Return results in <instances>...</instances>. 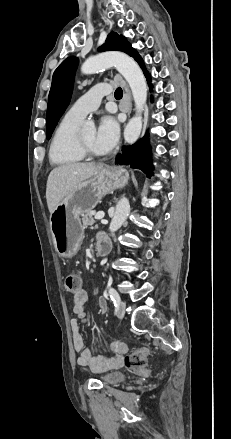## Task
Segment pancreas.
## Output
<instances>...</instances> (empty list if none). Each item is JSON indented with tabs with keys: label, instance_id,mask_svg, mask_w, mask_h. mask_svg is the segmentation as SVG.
Listing matches in <instances>:
<instances>
[{
	"label": "pancreas",
	"instance_id": "cf45deb5",
	"mask_svg": "<svg viewBox=\"0 0 231 439\" xmlns=\"http://www.w3.org/2000/svg\"><path fill=\"white\" fill-rule=\"evenodd\" d=\"M95 215L94 211H88L82 216L83 226L86 228L88 226H92L95 223L93 216Z\"/></svg>",
	"mask_w": 231,
	"mask_h": 439
}]
</instances>
